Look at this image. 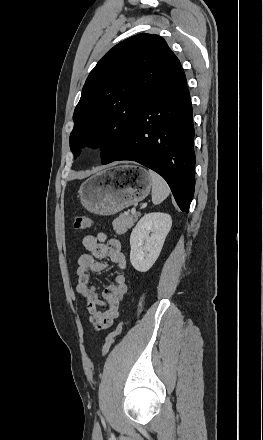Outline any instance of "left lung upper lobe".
I'll return each instance as SVG.
<instances>
[{"label":"left lung upper lobe","instance_id":"obj_1","mask_svg":"<svg viewBox=\"0 0 263 440\" xmlns=\"http://www.w3.org/2000/svg\"><path fill=\"white\" fill-rule=\"evenodd\" d=\"M174 56L165 40L152 34L132 36L106 53L90 72L73 114L75 157L89 143L100 147L107 164L127 148L140 110Z\"/></svg>","mask_w":263,"mask_h":440}]
</instances>
